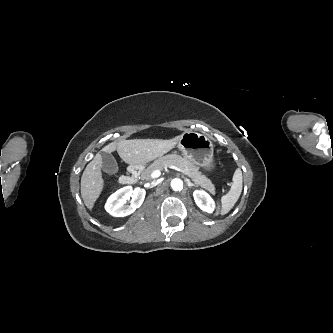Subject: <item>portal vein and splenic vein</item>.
<instances>
[{"label": "portal vein and splenic vein", "instance_id": "obj_1", "mask_svg": "<svg viewBox=\"0 0 333 333\" xmlns=\"http://www.w3.org/2000/svg\"><path fill=\"white\" fill-rule=\"evenodd\" d=\"M168 167L184 174V171L177 166L169 165ZM160 175H161L160 170H155L151 173V178L155 179L158 178Z\"/></svg>", "mask_w": 333, "mask_h": 333}]
</instances>
